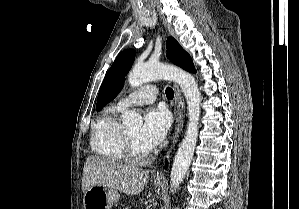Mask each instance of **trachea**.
Here are the masks:
<instances>
[{"instance_id":"obj_1","label":"trachea","mask_w":299,"mask_h":209,"mask_svg":"<svg viewBox=\"0 0 299 209\" xmlns=\"http://www.w3.org/2000/svg\"><path fill=\"white\" fill-rule=\"evenodd\" d=\"M165 93L168 99H172L174 97V92L170 87L166 88Z\"/></svg>"}]
</instances>
